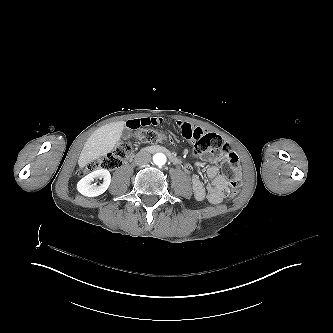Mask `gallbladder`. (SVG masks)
Returning a JSON list of instances; mask_svg holds the SVG:
<instances>
[{"instance_id":"1","label":"gallbladder","mask_w":333,"mask_h":333,"mask_svg":"<svg viewBox=\"0 0 333 333\" xmlns=\"http://www.w3.org/2000/svg\"><path fill=\"white\" fill-rule=\"evenodd\" d=\"M132 137V130L129 129L128 127H124L122 131V139L123 140H129Z\"/></svg>"}]
</instances>
